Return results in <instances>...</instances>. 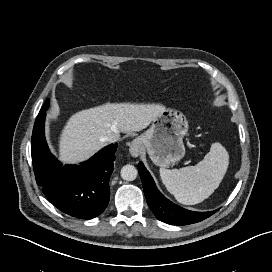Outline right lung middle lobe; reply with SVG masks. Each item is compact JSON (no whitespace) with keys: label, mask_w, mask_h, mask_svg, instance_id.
I'll return each mask as SVG.
<instances>
[{"label":"right lung middle lobe","mask_w":272,"mask_h":272,"mask_svg":"<svg viewBox=\"0 0 272 272\" xmlns=\"http://www.w3.org/2000/svg\"><path fill=\"white\" fill-rule=\"evenodd\" d=\"M49 107V101L47 100L44 105L42 106L41 110L40 111H46L47 108Z\"/></svg>","instance_id":"obj_1"}]
</instances>
